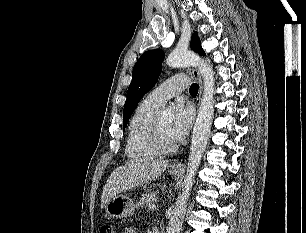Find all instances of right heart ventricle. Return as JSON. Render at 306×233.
Segmentation results:
<instances>
[{"instance_id": "obj_1", "label": "right heart ventricle", "mask_w": 306, "mask_h": 233, "mask_svg": "<svg viewBox=\"0 0 306 233\" xmlns=\"http://www.w3.org/2000/svg\"><path fill=\"white\" fill-rule=\"evenodd\" d=\"M159 109L143 100L132 115L127 133L125 153L131 161H146L158 156L150 139V129Z\"/></svg>"}]
</instances>
